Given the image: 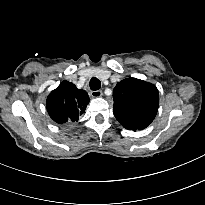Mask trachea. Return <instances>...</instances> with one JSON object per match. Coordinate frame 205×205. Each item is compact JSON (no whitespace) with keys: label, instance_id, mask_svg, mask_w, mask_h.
I'll return each instance as SVG.
<instances>
[{"label":"trachea","instance_id":"trachea-1","mask_svg":"<svg viewBox=\"0 0 205 205\" xmlns=\"http://www.w3.org/2000/svg\"><path fill=\"white\" fill-rule=\"evenodd\" d=\"M90 89L93 91L99 90L101 88V82L98 78L93 77L89 83Z\"/></svg>","mask_w":205,"mask_h":205}]
</instances>
